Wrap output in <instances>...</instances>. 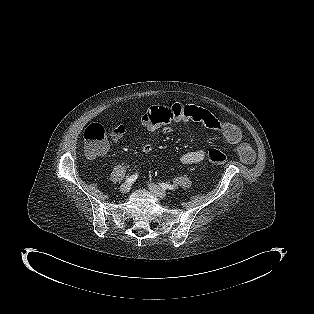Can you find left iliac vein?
Instances as JSON below:
<instances>
[{"label":"left iliac vein","instance_id":"obj_1","mask_svg":"<svg viewBox=\"0 0 314 314\" xmlns=\"http://www.w3.org/2000/svg\"><path fill=\"white\" fill-rule=\"evenodd\" d=\"M148 187L155 196L161 199H165L167 197V192L161 189L160 187H158L157 185L150 183L148 184Z\"/></svg>","mask_w":314,"mask_h":314}]
</instances>
